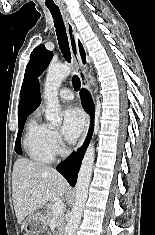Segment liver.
Wrapping results in <instances>:
<instances>
[{
    "instance_id": "1",
    "label": "liver",
    "mask_w": 155,
    "mask_h": 235,
    "mask_svg": "<svg viewBox=\"0 0 155 235\" xmlns=\"http://www.w3.org/2000/svg\"><path fill=\"white\" fill-rule=\"evenodd\" d=\"M66 189V181L55 169L26 158H18L13 166L12 199L21 230L34 211L48 201L62 197Z\"/></svg>"
}]
</instances>
